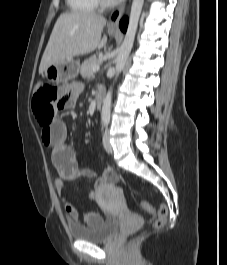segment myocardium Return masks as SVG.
Returning <instances> with one entry per match:
<instances>
[{
	"mask_svg": "<svg viewBox=\"0 0 227 265\" xmlns=\"http://www.w3.org/2000/svg\"><path fill=\"white\" fill-rule=\"evenodd\" d=\"M97 2L101 5H108L109 4V0H97Z\"/></svg>",
	"mask_w": 227,
	"mask_h": 265,
	"instance_id": "f54148a6",
	"label": "myocardium"
}]
</instances>
